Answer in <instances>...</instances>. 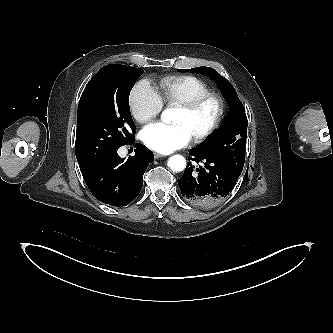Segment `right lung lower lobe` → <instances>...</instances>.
<instances>
[{"label":"right lung lower lobe","mask_w":333,"mask_h":333,"mask_svg":"<svg viewBox=\"0 0 333 333\" xmlns=\"http://www.w3.org/2000/svg\"><path fill=\"white\" fill-rule=\"evenodd\" d=\"M135 147V155L127 160L114 151L80 168L89 190L97 200L122 207L137 197L143 185L144 172L154 156L140 143Z\"/></svg>","instance_id":"98d812e1"}]
</instances>
